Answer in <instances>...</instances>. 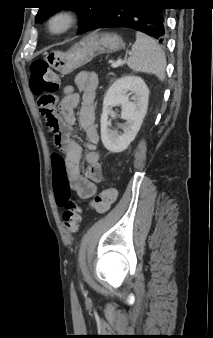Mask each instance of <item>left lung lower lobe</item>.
<instances>
[{
    "label": "left lung lower lobe",
    "mask_w": 213,
    "mask_h": 338,
    "mask_svg": "<svg viewBox=\"0 0 213 338\" xmlns=\"http://www.w3.org/2000/svg\"><path fill=\"white\" fill-rule=\"evenodd\" d=\"M156 0H104L81 33L102 27H126L165 41V13Z\"/></svg>",
    "instance_id": "obj_1"
}]
</instances>
